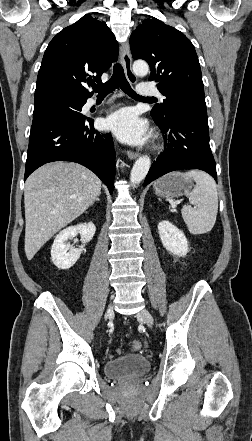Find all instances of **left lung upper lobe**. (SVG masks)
<instances>
[{
  "label": "left lung upper lobe",
  "instance_id": "5c2ea615",
  "mask_svg": "<svg viewBox=\"0 0 252 441\" xmlns=\"http://www.w3.org/2000/svg\"><path fill=\"white\" fill-rule=\"evenodd\" d=\"M132 57L151 68L150 81L166 97L151 111L154 120L168 121L180 108L206 111L198 57L190 40L177 29L156 18L145 19L130 37Z\"/></svg>",
  "mask_w": 252,
  "mask_h": 441
}]
</instances>
